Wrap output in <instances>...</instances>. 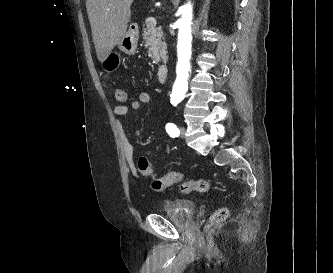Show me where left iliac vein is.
<instances>
[{
	"instance_id": "4c4485c4",
	"label": "left iliac vein",
	"mask_w": 333,
	"mask_h": 273,
	"mask_svg": "<svg viewBox=\"0 0 333 273\" xmlns=\"http://www.w3.org/2000/svg\"><path fill=\"white\" fill-rule=\"evenodd\" d=\"M180 134H181L182 137H185L186 129L184 127L180 128Z\"/></svg>"
}]
</instances>
